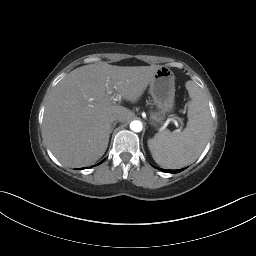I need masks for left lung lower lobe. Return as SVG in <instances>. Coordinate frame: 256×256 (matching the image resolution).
Masks as SVG:
<instances>
[{
	"instance_id": "0a47b994",
	"label": "left lung lower lobe",
	"mask_w": 256,
	"mask_h": 256,
	"mask_svg": "<svg viewBox=\"0 0 256 256\" xmlns=\"http://www.w3.org/2000/svg\"><path fill=\"white\" fill-rule=\"evenodd\" d=\"M158 169L161 170V171L167 172V173H178V172L183 170V169H180V170H167V169H161V168H158Z\"/></svg>"
}]
</instances>
